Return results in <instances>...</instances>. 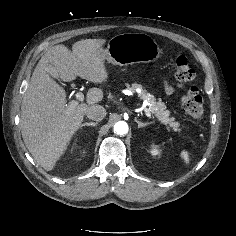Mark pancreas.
Returning <instances> with one entry per match:
<instances>
[{
    "mask_svg": "<svg viewBox=\"0 0 236 236\" xmlns=\"http://www.w3.org/2000/svg\"><path fill=\"white\" fill-rule=\"evenodd\" d=\"M128 88L132 91L135 92L137 89H140L141 92L138 94V97L143 100V101H147L149 104V111L158 118V120L168 126V128L173 129L176 132H180V124L178 122H175L174 117H169L170 116V112L168 110H166V106L165 104L159 100L156 101V99L154 98L153 95H151L150 93H146V91L143 89L142 86L138 85V84H133L131 87L128 86Z\"/></svg>",
    "mask_w": 236,
    "mask_h": 236,
    "instance_id": "obj_1",
    "label": "pancreas"
}]
</instances>
